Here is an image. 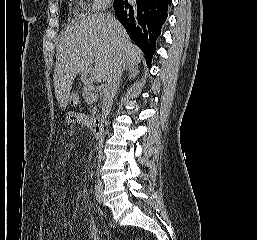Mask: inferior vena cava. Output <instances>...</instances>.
I'll use <instances>...</instances> for the list:
<instances>
[{
	"label": "inferior vena cava",
	"instance_id": "obj_1",
	"mask_svg": "<svg viewBox=\"0 0 257 240\" xmlns=\"http://www.w3.org/2000/svg\"><path fill=\"white\" fill-rule=\"evenodd\" d=\"M122 60L120 50L117 44L116 53L113 59V65L111 71L108 75L106 83L103 87V106H102V123H106V119L109 115L110 109L112 107L113 99L117 92L120 84V77L122 72ZM103 137L100 138V143L102 144Z\"/></svg>",
	"mask_w": 257,
	"mask_h": 240
}]
</instances>
